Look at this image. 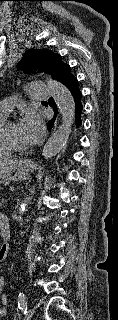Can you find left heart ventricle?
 <instances>
[{
	"label": "left heart ventricle",
	"mask_w": 118,
	"mask_h": 320,
	"mask_svg": "<svg viewBox=\"0 0 118 320\" xmlns=\"http://www.w3.org/2000/svg\"><path fill=\"white\" fill-rule=\"evenodd\" d=\"M6 136L8 139L18 146H26V143L24 142L19 125L16 123L10 124L6 128Z\"/></svg>",
	"instance_id": "1"
}]
</instances>
